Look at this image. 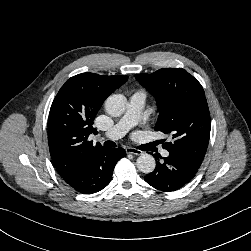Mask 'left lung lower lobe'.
<instances>
[{
    "label": "left lung lower lobe",
    "instance_id": "obj_1",
    "mask_svg": "<svg viewBox=\"0 0 251 251\" xmlns=\"http://www.w3.org/2000/svg\"><path fill=\"white\" fill-rule=\"evenodd\" d=\"M154 157L158 160L156 155ZM163 160L164 162H156L155 170L145 176V181L165 192L176 191L185 186L201 166L199 161L182 153L169 152V156Z\"/></svg>",
    "mask_w": 251,
    "mask_h": 251
}]
</instances>
